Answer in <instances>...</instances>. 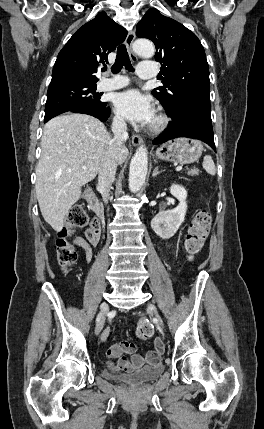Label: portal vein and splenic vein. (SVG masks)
<instances>
[{
	"mask_svg": "<svg viewBox=\"0 0 264 429\" xmlns=\"http://www.w3.org/2000/svg\"><path fill=\"white\" fill-rule=\"evenodd\" d=\"M83 170H86V166H82ZM182 170V166H177L176 167V171H181Z\"/></svg>",
	"mask_w": 264,
	"mask_h": 429,
	"instance_id": "portal-vein-and-splenic-vein-1",
	"label": "portal vein and splenic vein"
}]
</instances>
